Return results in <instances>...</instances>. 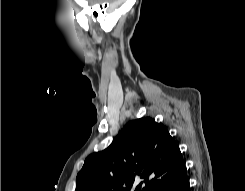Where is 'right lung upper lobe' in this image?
<instances>
[{"instance_id":"obj_1","label":"right lung upper lobe","mask_w":245,"mask_h":191,"mask_svg":"<svg viewBox=\"0 0 245 191\" xmlns=\"http://www.w3.org/2000/svg\"><path fill=\"white\" fill-rule=\"evenodd\" d=\"M185 163L167 129L152 118L130 121L103 151L89 155L75 191H153Z\"/></svg>"}]
</instances>
